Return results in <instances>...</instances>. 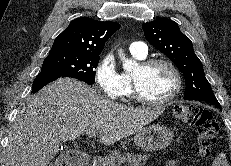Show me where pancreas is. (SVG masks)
<instances>
[{
    "instance_id": "1",
    "label": "pancreas",
    "mask_w": 231,
    "mask_h": 166,
    "mask_svg": "<svg viewBox=\"0 0 231 166\" xmlns=\"http://www.w3.org/2000/svg\"><path fill=\"white\" fill-rule=\"evenodd\" d=\"M149 155L121 153L118 150L110 151V154L105 157H98L92 161L90 166H142L147 162Z\"/></svg>"
}]
</instances>
